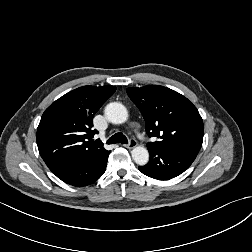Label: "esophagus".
Listing matches in <instances>:
<instances>
[{
    "mask_svg": "<svg viewBox=\"0 0 252 252\" xmlns=\"http://www.w3.org/2000/svg\"><path fill=\"white\" fill-rule=\"evenodd\" d=\"M137 146V141L135 139H131L128 144H125L124 147L128 149H133Z\"/></svg>",
    "mask_w": 252,
    "mask_h": 252,
    "instance_id": "esophagus-1",
    "label": "esophagus"
}]
</instances>
